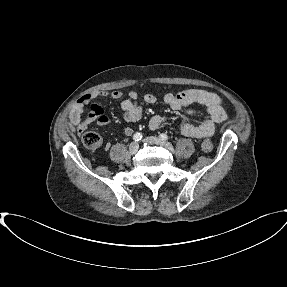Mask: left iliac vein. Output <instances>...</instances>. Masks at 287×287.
<instances>
[{
    "label": "left iliac vein",
    "mask_w": 287,
    "mask_h": 287,
    "mask_svg": "<svg viewBox=\"0 0 287 287\" xmlns=\"http://www.w3.org/2000/svg\"><path fill=\"white\" fill-rule=\"evenodd\" d=\"M144 141L147 142V143H150V144H157V145L163 146V147H165L167 149H171L172 148V146H171V144L169 142L163 141L160 138L155 137V136L147 137Z\"/></svg>",
    "instance_id": "4c4485c4"
}]
</instances>
